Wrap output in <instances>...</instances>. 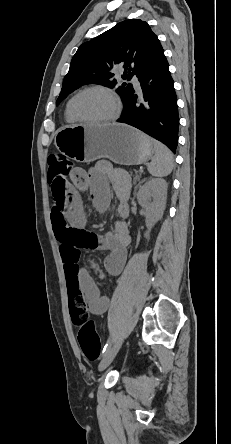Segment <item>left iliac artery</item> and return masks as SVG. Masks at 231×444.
Returning a JSON list of instances; mask_svg holds the SVG:
<instances>
[{"mask_svg": "<svg viewBox=\"0 0 231 444\" xmlns=\"http://www.w3.org/2000/svg\"><path fill=\"white\" fill-rule=\"evenodd\" d=\"M111 341H112V339H111V337H110V338L108 339L106 345L104 346L103 350H102V353H103V354L106 353V352L110 349V347H111Z\"/></svg>", "mask_w": 231, "mask_h": 444, "instance_id": "left-iliac-artery-1", "label": "left iliac artery"}]
</instances>
